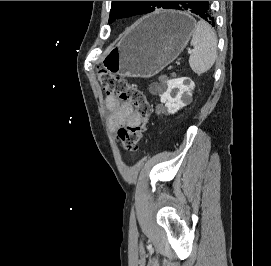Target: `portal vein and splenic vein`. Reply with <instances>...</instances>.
Returning <instances> with one entry per match:
<instances>
[{
    "mask_svg": "<svg viewBox=\"0 0 271 266\" xmlns=\"http://www.w3.org/2000/svg\"><path fill=\"white\" fill-rule=\"evenodd\" d=\"M188 52L191 54L193 51H192V50H189Z\"/></svg>",
    "mask_w": 271,
    "mask_h": 266,
    "instance_id": "portal-vein-and-splenic-vein-1",
    "label": "portal vein and splenic vein"
}]
</instances>
